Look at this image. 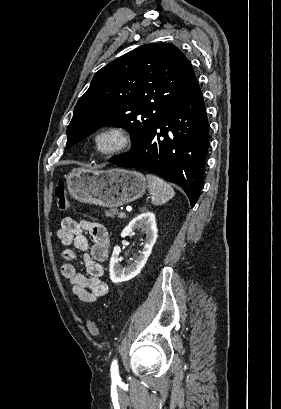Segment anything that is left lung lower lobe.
I'll use <instances>...</instances> for the list:
<instances>
[{"label":"left lung lower lobe","mask_w":281,"mask_h":409,"mask_svg":"<svg viewBox=\"0 0 281 409\" xmlns=\"http://www.w3.org/2000/svg\"><path fill=\"white\" fill-rule=\"evenodd\" d=\"M208 144L209 122L203 94L195 80L131 151L109 161L179 184L193 207L201 192Z\"/></svg>","instance_id":"1"}]
</instances>
